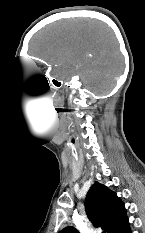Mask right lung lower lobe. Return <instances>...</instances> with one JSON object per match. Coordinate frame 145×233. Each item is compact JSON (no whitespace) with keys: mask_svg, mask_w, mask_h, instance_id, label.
Instances as JSON below:
<instances>
[{"mask_svg":"<svg viewBox=\"0 0 145 233\" xmlns=\"http://www.w3.org/2000/svg\"><path fill=\"white\" fill-rule=\"evenodd\" d=\"M112 233H131L128 218L117 227Z\"/></svg>","mask_w":145,"mask_h":233,"instance_id":"obj_1","label":"right lung lower lobe"}]
</instances>
